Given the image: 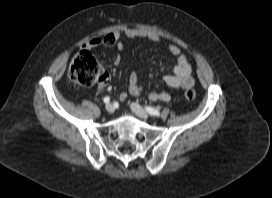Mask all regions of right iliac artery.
<instances>
[{
	"mask_svg": "<svg viewBox=\"0 0 272 198\" xmlns=\"http://www.w3.org/2000/svg\"><path fill=\"white\" fill-rule=\"evenodd\" d=\"M104 103H108L110 101V98L108 96H106L104 99H103Z\"/></svg>",
	"mask_w": 272,
	"mask_h": 198,
	"instance_id": "1",
	"label": "right iliac artery"
}]
</instances>
